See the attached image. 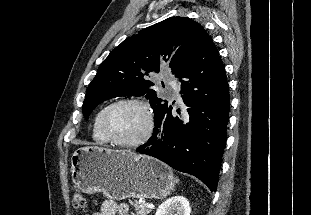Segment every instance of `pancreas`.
Listing matches in <instances>:
<instances>
[{
  "label": "pancreas",
  "mask_w": 311,
  "mask_h": 215,
  "mask_svg": "<svg viewBox=\"0 0 311 215\" xmlns=\"http://www.w3.org/2000/svg\"><path fill=\"white\" fill-rule=\"evenodd\" d=\"M129 202L135 207L136 215H148L151 211V209L147 207L148 203L146 202H139L137 200H130Z\"/></svg>",
  "instance_id": "obj_1"
}]
</instances>
